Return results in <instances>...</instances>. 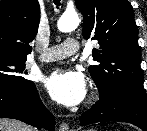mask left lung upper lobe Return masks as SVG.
I'll return each instance as SVG.
<instances>
[{"mask_svg":"<svg viewBox=\"0 0 147 131\" xmlns=\"http://www.w3.org/2000/svg\"><path fill=\"white\" fill-rule=\"evenodd\" d=\"M83 14V37L98 40L97 65L89 67L101 99L123 92L146 95L140 69L138 28L127 0H76Z\"/></svg>","mask_w":147,"mask_h":131,"instance_id":"5c2ea615","label":"left lung upper lobe"}]
</instances>
